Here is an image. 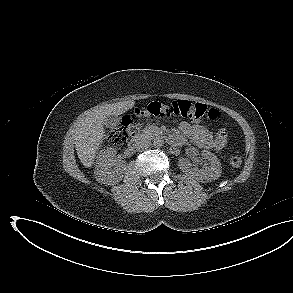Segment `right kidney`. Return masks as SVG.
<instances>
[{
	"instance_id": "1",
	"label": "right kidney",
	"mask_w": 293,
	"mask_h": 293,
	"mask_svg": "<svg viewBox=\"0 0 293 293\" xmlns=\"http://www.w3.org/2000/svg\"><path fill=\"white\" fill-rule=\"evenodd\" d=\"M115 155L116 150L112 147L100 151L94 171L99 183L111 185L121 179L126 164L122 160H116Z\"/></svg>"
}]
</instances>
